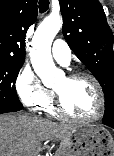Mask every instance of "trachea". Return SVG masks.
Here are the masks:
<instances>
[{
	"label": "trachea",
	"mask_w": 114,
	"mask_h": 156,
	"mask_svg": "<svg viewBox=\"0 0 114 156\" xmlns=\"http://www.w3.org/2000/svg\"><path fill=\"white\" fill-rule=\"evenodd\" d=\"M49 8V0H39V10L41 13H44Z\"/></svg>",
	"instance_id": "obj_1"
}]
</instances>
